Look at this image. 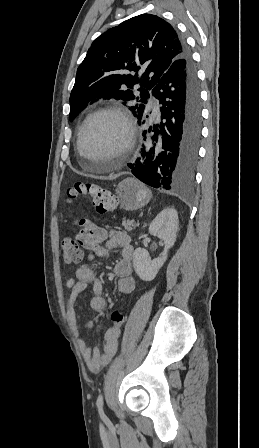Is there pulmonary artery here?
Segmentation results:
<instances>
[{"label": "pulmonary artery", "mask_w": 259, "mask_h": 448, "mask_svg": "<svg viewBox=\"0 0 259 448\" xmlns=\"http://www.w3.org/2000/svg\"><path fill=\"white\" fill-rule=\"evenodd\" d=\"M151 105L153 106L154 111H156V112L159 111V105H158V102L156 100H152L151 101Z\"/></svg>", "instance_id": "pulmonary-artery-1"}]
</instances>
